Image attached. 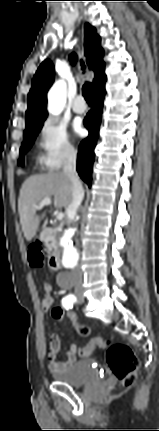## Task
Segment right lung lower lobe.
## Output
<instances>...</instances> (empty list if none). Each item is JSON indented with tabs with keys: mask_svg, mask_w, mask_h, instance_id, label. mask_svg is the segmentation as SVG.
<instances>
[{
	"mask_svg": "<svg viewBox=\"0 0 159 431\" xmlns=\"http://www.w3.org/2000/svg\"><path fill=\"white\" fill-rule=\"evenodd\" d=\"M105 82L101 83L94 91V108L84 119V125L89 131V136L84 139L79 147L77 171L88 186H91V173L94 163V148L99 135V125L105 96Z\"/></svg>",
	"mask_w": 159,
	"mask_h": 431,
	"instance_id": "right-lung-lower-lobe-1",
	"label": "right lung lower lobe"
}]
</instances>
